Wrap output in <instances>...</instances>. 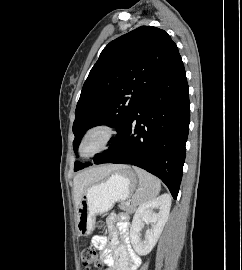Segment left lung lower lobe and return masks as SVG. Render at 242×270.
I'll use <instances>...</instances> for the list:
<instances>
[{
    "instance_id": "1",
    "label": "left lung lower lobe",
    "mask_w": 242,
    "mask_h": 270,
    "mask_svg": "<svg viewBox=\"0 0 242 270\" xmlns=\"http://www.w3.org/2000/svg\"><path fill=\"white\" fill-rule=\"evenodd\" d=\"M190 122L188 84L181 56L157 77L129 122L92 164L138 166L159 177L177 198Z\"/></svg>"
}]
</instances>
